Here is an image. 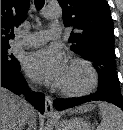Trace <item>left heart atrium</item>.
I'll return each mask as SVG.
<instances>
[{"label":"left heart atrium","instance_id":"obj_1","mask_svg":"<svg viewBox=\"0 0 123 130\" xmlns=\"http://www.w3.org/2000/svg\"><path fill=\"white\" fill-rule=\"evenodd\" d=\"M24 66L27 74L32 79L58 86L68 63L59 48L50 46L28 54Z\"/></svg>","mask_w":123,"mask_h":130}]
</instances>
